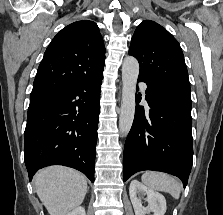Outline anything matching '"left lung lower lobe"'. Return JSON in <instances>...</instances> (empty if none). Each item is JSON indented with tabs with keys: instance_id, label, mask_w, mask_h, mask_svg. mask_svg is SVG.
Listing matches in <instances>:
<instances>
[{
	"instance_id": "0a47b994",
	"label": "left lung lower lobe",
	"mask_w": 223,
	"mask_h": 215,
	"mask_svg": "<svg viewBox=\"0 0 223 215\" xmlns=\"http://www.w3.org/2000/svg\"><path fill=\"white\" fill-rule=\"evenodd\" d=\"M138 81L147 84L149 110L139 106L136 95L135 118L124 147V181L136 172L156 170L179 177L185 188L193 156L191 99L143 78Z\"/></svg>"
}]
</instances>
